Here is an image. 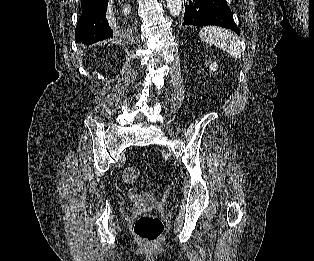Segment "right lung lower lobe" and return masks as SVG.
Masks as SVG:
<instances>
[{"instance_id": "right-lung-lower-lobe-1", "label": "right lung lower lobe", "mask_w": 314, "mask_h": 261, "mask_svg": "<svg viewBox=\"0 0 314 261\" xmlns=\"http://www.w3.org/2000/svg\"><path fill=\"white\" fill-rule=\"evenodd\" d=\"M108 0H82V14L76 27L77 42L93 44L113 36L106 18Z\"/></svg>"}]
</instances>
